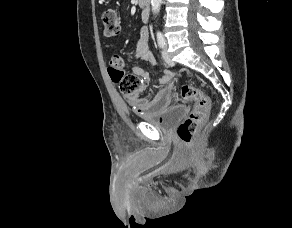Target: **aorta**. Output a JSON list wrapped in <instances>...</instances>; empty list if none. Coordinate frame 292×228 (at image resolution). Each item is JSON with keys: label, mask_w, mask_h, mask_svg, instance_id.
<instances>
[{"label": "aorta", "mask_w": 292, "mask_h": 228, "mask_svg": "<svg viewBox=\"0 0 292 228\" xmlns=\"http://www.w3.org/2000/svg\"><path fill=\"white\" fill-rule=\"evenodd\" d=\"M161 4H162V0H151L152 12L154 14L159 12Z\"/></svg>", "instance_id": "1"}]
</instances>
